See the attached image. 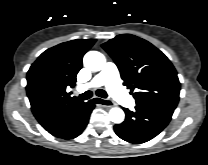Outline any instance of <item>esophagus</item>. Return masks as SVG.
I'll list each match as a JSON object with an SVG mask.
<instances>
[{"instance_id":"esophagus-1","label":"esophagus","mask_w":208,"mask_h":165,"mask_svg":"<svg viewBox=\"0 0 208 165\" xmlns=\"http://www.w3.org/2000/svg\"><path fill=\"white\" fill-rule=\"evenodd\" d=\"M94 102L101 105V106H104V107H113L114 106L113 102H110V101L100 98V97H94Z\"/></svg>"}]
</instances>
